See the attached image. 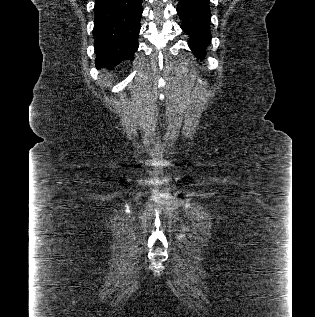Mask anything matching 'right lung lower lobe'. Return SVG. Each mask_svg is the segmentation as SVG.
<instances>
[{"label": "right lung lower lobe", "instance_id": "98d812e1", "mask_svg": "<svg viewBox=\"0 0 315 317\" xmlns=\"http://www.w3.org/2000/svg\"><path fill=\"white\" fill-rule=\"evenodd\" d=\"M142 0H95L96 66L113 69L138 49Z\"/></svg>", "mask_w": 315, "mask_h": 317}]
</instances>
